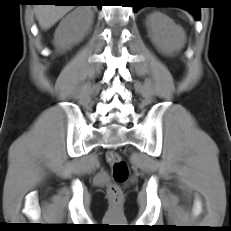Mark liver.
I'll return each instance as SVG.
<instances>
[{
    "instance_id": "6515ba94",
    "label": "liver",
    "mask_w": 231,
    "mask_h": 231,
    "mask_svg": "<svg viewBox=\"0 0 231 231\" xmlns=\"http://www.w3.org/2000/svg\"><path fill=\"white\" fill-rule=\"evenodd\" d=\"M73 8V5H38L34 10L39 25L42 29L46 30L57 23Z\"/></svg>"
}]
</instances>
